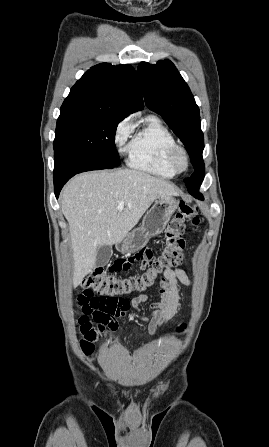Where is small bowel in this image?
Listing matches in <instances>:
<instances>
[{"mask_svg":"<svg viewBox=\"0 0 269 447\" xmlns=\"http://www.w3.org/2000/svg\"><path fill=\"white\" fill-rule=\"evenodd\" d=\"M178 283L187 286L191 284L186 271L181 268L167 270L158 291V299L150 304L151 314L138 317L148 324L149 334H154L158 327L168 323L176 314L180 300ZM148 300L147 296L142 295L134 298L129 304L138 310L140 305Z\"/></svg>","mask_w":269,"mask_h":447,"instance_id":"c3829d8e","label":"small bowel"}]
</instances>
